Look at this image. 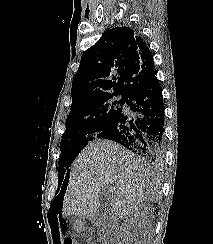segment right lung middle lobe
<instances>
[{
	"label": "right lung middle lobe",
	"instance_id": "right-lung-middle-lobe-1",
	"mask_svg": "<svg viewBox=\"0 0 213 244\" xmlns=\"http://www.w3.org/2000/svg\"><path fill=\"white\" fill-rule=\"evenodd\" d=\"M116 96H103L70 109L61 140L60 165L57 167L59 184L63 181L66 168L71 165L78 153L88 142L94 140L97 134L108 129L122 113V105L127 102V98L122 96V99L117 101Z\"/></svg>",
	"mask_w": 213,
	"mask_h": 244
}]
</instances>
